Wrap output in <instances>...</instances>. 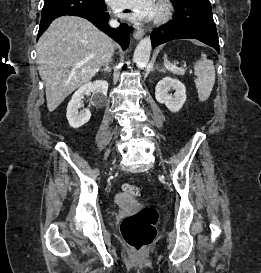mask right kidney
<instances>
[{"instance_id": "1", "label": "right kidney", "mask_w": 261, "mask_h": 273, "mask_svg": "<svg viewBox=\"0 0 261 273\" xmlns=\"http://www.w3.org/2000/svg\"><path fill=\"white\" fill-rule=\"evenodd\" d=\"M108 83L105 80H96L94 82H88L82 85L72 96L67 106L66 117L69 125L72 128H79L89 121L91 113L89 110H83L80 113L78 109L81 108L82 99L85 95L95 93L92 105L99 101H104L107 96Z\"/></svg>"}]
</instances>
